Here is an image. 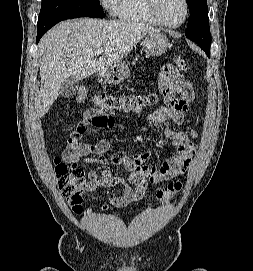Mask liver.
<instances>
[{
	"label": "liver",
	"instance_id": "6515ba94",
	"mask_svg": "<svg viewBox=\"0 0 253 271\" xmlns=\"http://www.w3.org/2000/svg\"><path fill=\"white\" fill-rule=\"evenodd\" d=\"M155 31L159 30L136 22L92 18L66 20L54 26L38 44L39 116L48 112L67 79L79 81L119 64L145 35ZM99 49L103 52L96 59Z\"/></svg>",
	"mask_w": 253,
	"mask_h": 271
}]
</instances>
